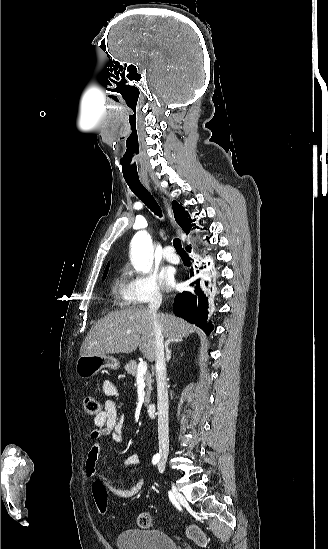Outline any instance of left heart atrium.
Here are the masks:
<instances>
[{"label":"left heart atrium","instance_id":"1","mask_svg":"<svg viewBox=\"0 0 328 549\" xmlns=\"http://www.w3.org/2000/svg\"><path fill=\"white\" fill-rule=\"evenodd\" d=\"M161 283L166 290H169L174 285L173 277L167 272H164L161 276Z\"/></svg>","mask_w":328,"mask_h":549}]
</instances>
